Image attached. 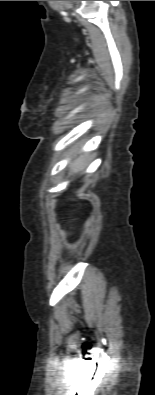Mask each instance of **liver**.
<instances>
[{
    "label": "liver",
    "instance_id": "obj_1",
    "mask_svg": "<svg viewBox=\"0 0 155 395\" xmlns=\"http://www.w3.org/2000/svg\"><path fill=\"white\" fill-rule=\"evenodd\" d=\"M77 149H75L76 151ZM87 157L88 155H82L80 157H78L77 159H75L70 167L72 168V170L77 173L81 170H83L85 168V166L87 165Z\"/></svg>",
    "mask_w": 155,
    "mask_h": 395
}]
</instances>
